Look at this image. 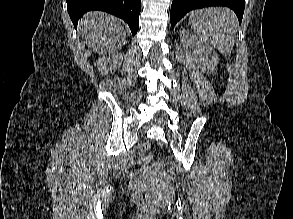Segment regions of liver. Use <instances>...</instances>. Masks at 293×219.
Masks as SVG:
<instances>
[{"instance_id":"1","label":"liver","mask_w":293,"mask_h":219,"mask_svg":"<svg viewBox=\"0 0 293 219\" xmlns=\"http://www.w3.org/2000/svg\"><path fill=\"white\" fill-rule=\"evenodd\" d=\"M79 32L87 44L97 53H113L126 41V32L121 22L106 13H87L78 24Z\"/></svg>"}]
</instances>
